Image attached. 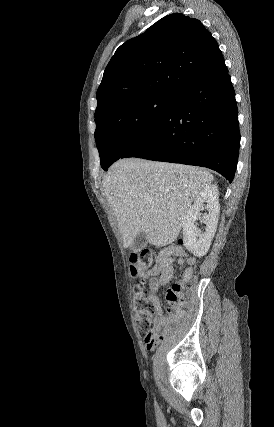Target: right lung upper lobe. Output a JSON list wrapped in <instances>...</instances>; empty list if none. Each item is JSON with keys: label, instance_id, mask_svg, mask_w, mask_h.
Listing matches in <instances>:
<instances>
[{"label": "right lung upper lobe", "instance_id": "obj_1", "mask_svg": "<svg viewBox=\"0 0 274 427\" xmlns=\"http://www.w3.org/2000/svg\"><path fill=\"white\" fill-rule=\"evenodd\" d=\"M224 67L217 42L200 20L165 16L116 50L97 90L95 117L131 97L176 95Z\"/></svg>", "mask_w": 274, "mask_h": 427}]
</instances>
